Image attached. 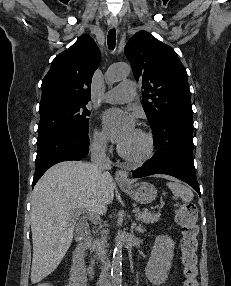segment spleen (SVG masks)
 I'll return each instance as SVG.
<instances>
[{
	"label": "spleen",
	"instance_id": "1",
	"mask_svg": "<svg viewBox=\"0 0 231 286\" xmlns=\"http://www.w3.org/2000/svg\"><path fill=\"white\" fill-rule=\"evenodd\" d=\"M176 198H181L184 202H190L193 200V192L187 186L181 184L178 180H171L166 183Z\"/></svg>",
	"mask_w": 231,
	"mask_h": 286
}]
</instances>
